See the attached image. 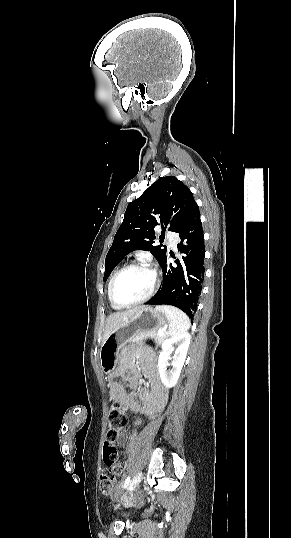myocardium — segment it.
Returning <instances> with one entry per match:
<instances>
[{
    "instance_id": "f54148a6",
    "label": "myocardium",
    "mask_w": 291,
    "mask_h": 538,
    "mask_svg": "<svg viewBox=\"0 0 291 538\" xmlns=\"http://www.w3.org/2000/svg\"><path fill=\"white\" fill-rule=\"evenodd\" d=\"M133 269H142V270H146V271L150 272L152 274V276H153L152 286H151L150 290L148 291V293L145 296H143L142 298H140L138 300H135V301H132V302H128V303H118L116 301V299H115V294H114L115 284H116L118 278L122 274H124L127 271L133 270ZM158 286H159V276H158L157 271L153 267H151L147 263H143V262L132 263V264L126 265L123 268H121L113 276V278L111 279L110 287H109V300L117 308H125V307L135 306V305L142 304V303L148 301L154 295V293L157 290Z\"/></svg>"
}]
</instances>
